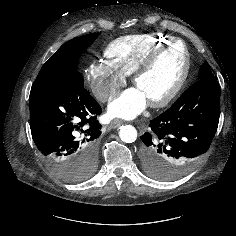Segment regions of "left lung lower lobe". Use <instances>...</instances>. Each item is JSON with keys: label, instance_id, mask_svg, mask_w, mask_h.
<instances>
[{"label": "left lung lower lobe", "instance_id": "1", "mask_svg": "<svg viewBox=\"0 0 236 236\" xmlns=\"http://www.w3.org/2000/svg\"><path fill=\"white\" fill-rule=\"evenodd\" d=\"M216 78L198 80L170 109L150 121L140 136L144 171L167 180L184 174L205 156L219 123Z\"/></svg>", "mask_w": 236, "mask_h": 236}]
</instances>
